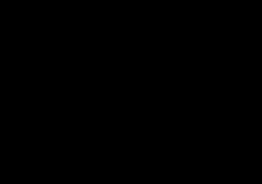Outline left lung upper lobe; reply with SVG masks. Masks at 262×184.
Returning <instances> with one entry per match:
<instances>
[{
    "label": "left lung upper lobe",
    "mask_w": 262,
    "mask_h": 184,
    "mask_svg": "<svg viewBox=\"0 0 262 184\" xmlns=\"http://www.w3.org/2000/svg\"><path fill=\"white\" fill-rule=\"evenodd\" d=\"M140 33H142L144 36L148 37L149 39L153 40L154 42L158 43L160 46L164 47L173 58H176L182 47L195 45V58L199 60L200 62H203V65L195 70H191L189 74H187L184 77H178L174 72L172 73V76L170 78L169 86L170 88H177L179 90H184L192 80L197 79L203 81V83L208 84V70L206 66V58L204 52L200 50L198 46L193 41V38L190 34L169 29L166 27H156V26H150V27H142L138 29ZM180 41V42H178ZM181 107L185 108V110L191 112V114L196 112H200L202 109V105L200 104V100L194 99L191 97H185L181 101ZM197 123V124H196ZM192 124V123H191ZM198 125L200 126V122L198 124V121H193V126Z\"/></svg>",
    "instance_id": "left-lung-upper-lobe-1"
}]
</instances>
